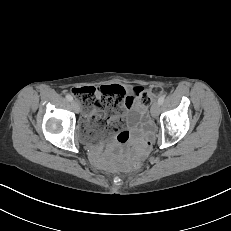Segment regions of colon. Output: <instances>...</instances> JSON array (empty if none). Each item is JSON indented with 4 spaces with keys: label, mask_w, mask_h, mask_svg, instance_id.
I'll return each instance as SVG.
<instances>
[{
    "label": "colon",
    "mask_w": 231,
    "mask_h": 231,
    "mask_svg": "<svg viewBox=\"0 0 231 231\" xmlns=\"http://www.w3.org/2000/svg\"><path fill=\"white\" fill-rule=\"evenodd\" d=\"M140 89L141 100L146 108L152 104L154 96L161 93L159 86H154L150 90ZM72 93L78 98L82 107L86 111L96 108L105 111V113L120 109L125 105L126 90L119 85H107L99 88H73ZM90 121L96 127H101L104 123L103 117H90ZM126 120L123 116L113 115L107 120V132L115 135L118 141H126L129 133L125 130ZM132 170H139L141 164L139 161L131 163Z\"/></svg>",
    "instance_id": "1"
}]
</instances>
